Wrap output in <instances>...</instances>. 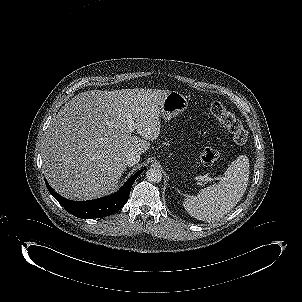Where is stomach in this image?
<instances>
[{
	"instance_id": "stomach-1",
	"label": "stomach",
	"mask_w": 302,
	"mask_h": 302,
	"mask_svg": "<svg viewBox=\"0 0 302 302\" xmlns=\"http://www.w3.org/2000/svg\"><path fill=\"white\" fill-rule=\"evenodd\" d=\"M188 99L178 91H170L163 99L160 111L164 119L169 120L184 112Z\"/></svg>"
}]
</instances>
